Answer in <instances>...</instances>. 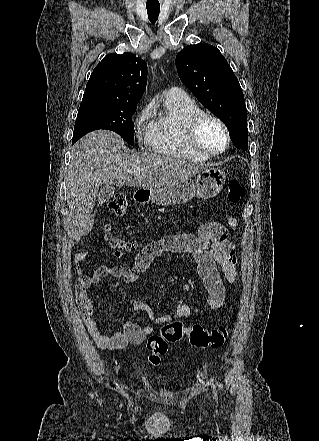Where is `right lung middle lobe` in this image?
Wrapping results in <instances>:
<instances>
[{
	"mask_svg": "<svg viewBox=\"0 0 319 441\" xmlns=\"http://www.w3.org/2000/svg\"><path fill=\"white\" fill-rule=\"evenodd\" d=\"M137 104L110 101H82L75 122L72 144L85 134L107 129L118 133L127 143L134 144L132 116Z\"/></svg>",
	"mask_w": 319,
	"mask_h": 441,
	"instance_id": "obj_1",
	"label": "right lung middle lobe"
}]
</instances>
